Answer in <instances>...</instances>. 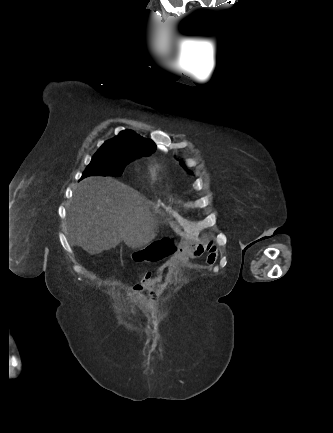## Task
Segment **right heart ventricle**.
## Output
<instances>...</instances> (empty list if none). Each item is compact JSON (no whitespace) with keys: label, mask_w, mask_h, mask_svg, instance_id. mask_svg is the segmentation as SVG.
Wrapping results in <instances>:
<instances>
[{"label":"right heart ventricle","mask_w":333,"mask_h":433,"mask_svg":"<svg viewBox=\"0 0 333 433\" xmlns=\"http://www.w3.org/2000/svg\"><path fill=\"white\" fill-rule=\"evenodd\" d=\"M159 165L152 164L148 168L149 178L152 182H156L159 179Z\"/></svg>","instance_id":"1"}]
</instances>
